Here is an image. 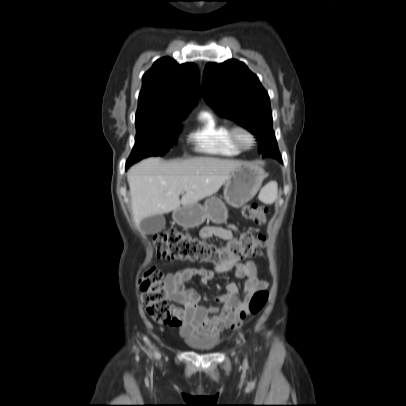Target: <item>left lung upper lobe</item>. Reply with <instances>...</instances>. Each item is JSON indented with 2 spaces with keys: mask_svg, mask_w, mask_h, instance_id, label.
<instances>
[{
  "mask_svg": "<svg viewBox=\"0 0 406 406\" xmlns=\"http://www.w3.org/2000/svg\"><path fill=\"white\" fill-rule=\"evenodd\" d=\"M202 94L221 116L230 118L256 135L259 153L281 160L272 129L270 99L256 75L237 60L208 63Z\"/></svg>",
  "mask_w": 406,
  "mask_h": 406,
  "instance_id": "5c2ea615",
  "label": "left lung upper lobe"
}]
</instances>
